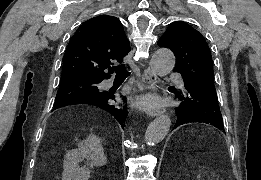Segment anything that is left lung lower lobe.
I'll list each match as a JSON object with an SVG mask.
<instances>
[{"label": "left lung lower lobe", "mask_w": 261, "mask_h": 180, "mask_svg": "<svg viewBox=\"0 0 261 180\" xmlns=\"http://www.w3.org/2000/svg\"><path fill=\"white\" fill-rule=\"evenodd\" d=\"M184 90L177 92L180 104L175 108L174 128L191 122L211 124L224 131L216 93L205 90L198 82L183 77Z\"/></svg>", "instance_id": "left-lung-lower-lobe-1"}]
</instances>
